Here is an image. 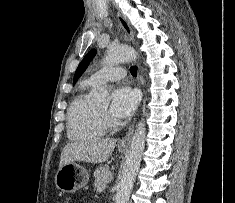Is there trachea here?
Segmentation results:
<instances>
[{
	"mask_svg": "<svg viewBox=\"0 0 235 203\" xmlns=\"http://www.w3.org/2000/svg\"><path fill=\"white\" fill-rule=\"evenodd\" d=\"M130 73H131L133 76H137V66H131V67H130Z\"/></svg>",
	"mask_w": 235,
	"mask_h": 203,
	"instance_id": "3493384b",
	"label": "trachea"
}]
</instances>
